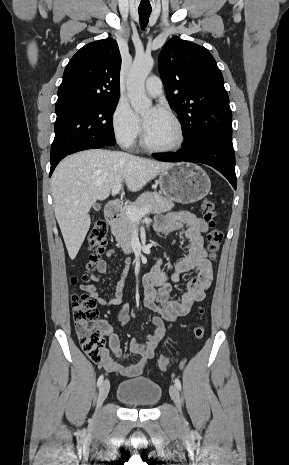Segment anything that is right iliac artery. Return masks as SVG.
Returning a JSON list of instances; mask_svg holds the SVG:
<instances>
[{"instance_id": "82829eb1", "label": "right iliac artery", "mask_w": 289, "mask_h": 465, "mask_svg": "<svg viewBox=\"0 0 289 465\" xmlns=\"http://www.w3.org/2000/svg\"><path fill=\"white\" fill-rule=\"evenodd\" d=\"M103 379H104V376L103 375H100V377L98 378V381H97V385L98 386H101L102 382H103Z\"/></svg>"}]
</instances>
